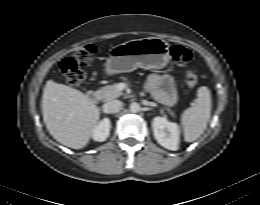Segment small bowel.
I'll list each match as a JSON object with an SVG mask.
<instances>
[{
    "mask_svg": "<svg viewBox=\"0 0 260 205\" xmlns=\"http://www.w3.org/2000/svg\"><path fill=\"white\" fill-rule=\"evenodd\" d=\"M147 88L165 104L172 105L176 102V87L173 78L169 75L151 74L147 80Z\"/></svg>",
    "mask_w": 260,
    "mask_h": 205,
    "instance_id": "1",
    "label": "small bowel"
}]
</instances>
